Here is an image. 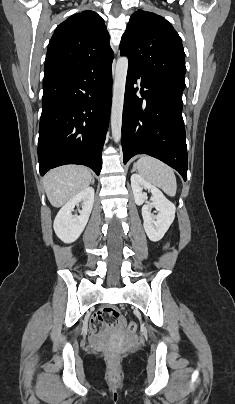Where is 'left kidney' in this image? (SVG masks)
<instances>
[{
	"mask_svg": "<svg viewBox=\"0 0 235 404\" xmlns=\"http://www.w3.org/2000/svg\"><path fill=\"white\" fill-rule=\"evenodd\" d=\"M131 187L137 205H141L147 200V194L143 193V189L151 192L152 202L142 207L143 227L151 241L157 242L161 240L175 218V205L158 188L139 174L131 176ZM153 207L158 212L157 215L151 213V208Z\"/></svg>",
	"mask_w": 235,
	"mask_h": 404,
	"instance_id": "1",
	"label": "left kidney"
}]
</instances>
